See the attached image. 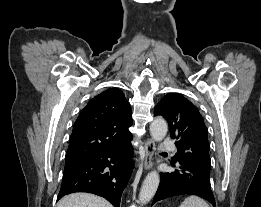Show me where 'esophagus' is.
<instances>
[{
    "mask_svg": "<svg viewBox=\"0 0 261 207\" xmlns=\"http://www.w3.org/2000/svg\"><path fill=\"white\" fill-rule=\"evenodd\" d=\"M154 154H155V144L152 139H148L145 142L144 168L146 170L152 166Z\"/></svg>",
    "mask_w": 261,
    "mask_h": 207,
    "instance_id": "34e87169",
    "label": "esophagus"
}]
</instances>
